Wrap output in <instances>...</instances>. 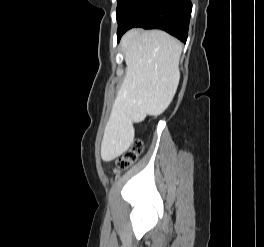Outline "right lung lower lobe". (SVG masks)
<instances>
[{"label":"right lung lower lobe","mask_w":264,"mask_h":247,"mask_svg":"<svg viewBox=\"0 0 264 247\" xmlns=\"http://www.w3.org/2000/svg\"><path fill=\"white\" fill-rule=\"evenodd\" d=\"M191 0H129L118 20L117 37L132 27L162 29L186 42Z\"/></svg>","instance_id":"obj_1"}]
</instances>
